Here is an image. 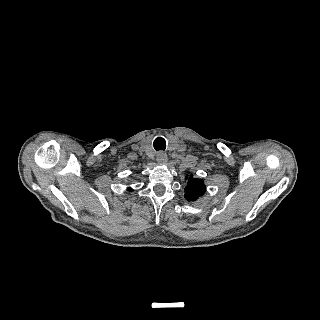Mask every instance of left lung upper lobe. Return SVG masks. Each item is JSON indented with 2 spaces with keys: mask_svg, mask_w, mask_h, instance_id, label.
I'll use <instances>...</instances> for the list:
<instances>
[{
  "mask_svg": "<svg viewBox=\"0 0 320 320\" xmlns=\"http://www.w3.org/2000/svg\"><path fill=\"white\" fill-rule=\"evenodd\" d=\"M187 185L184 189V197L188 201H195L206 192V186L202 179H195L193 175L186 176Z\"/></svg>",
  "mask_w": 320,
  "mask_h": 320,
  "instance_id": "left-lung-upper-lobe-1",
  "label": "left lung upper lobe"
}]
</instances>
